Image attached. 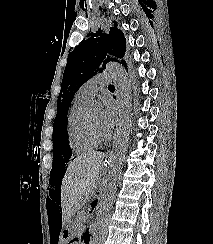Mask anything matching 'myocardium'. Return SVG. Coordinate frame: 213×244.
Here are the masks:
<instances>
[{"instance_id": "f54148a6", "label": "myocardium", "mask_w": 213, "mask_h": 244, "mask_svg": "<svg viewBox=\"0 0 213 244\" xmlns=\"http://www.w3.org/2000/svg\"><path fill=\"white\" fill-rule=\"evenodd\" d=\"M86 123H87V127L89 130L90 135L93 137V139H95L97 142H107L110 140L111 138V134L107 133L106 135H101L93 126V124L91 123L89 116H86Z\"/></svg>"}]
</instances>
